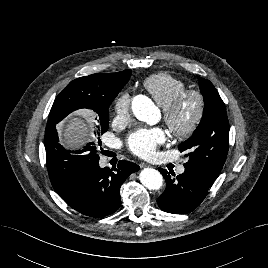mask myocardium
I'll return each mask as SVG.
<instances>
[{
  "label": "myocardium",
  "instance_id": "obj_1",
  "mask_svg": "<svg viewBox=\"0 0 268 268\" xmlns=\"http://www.w3.org/2000/svg\"><path fill=\"white\" fill-rule=\"evenodd\" d=\"M193 98L196 103L192 118L182 125L179 120L181 108L185 101ZM206 111V102L203 93L196 89H188L180 92L173 101L163 109V119L170 132L178 138L190 137L201 124Z\"/></svg>",
  "mask_w": 268,
  "mask_h": 268
}]
</instances>
